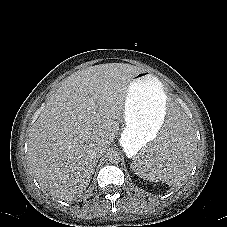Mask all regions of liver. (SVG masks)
<instances>
[{"label": "liver", "mask_w": 227, "mask_h": 227, "mask_svg": "<svg viewBox=\"0 0 227 227\" xmlns=\"http://www.w3.org/2000/svg\"><path fill=\"white\" fill-rule=\"evenodd\" d=\"M141 71L123 63L91 66L51 94L28 135V162L42 189L65 200L86 190L97 162L94 147L114 141L131 81Z\"/></svg>", "instance_id": "6515ba94"}]
</instances>
